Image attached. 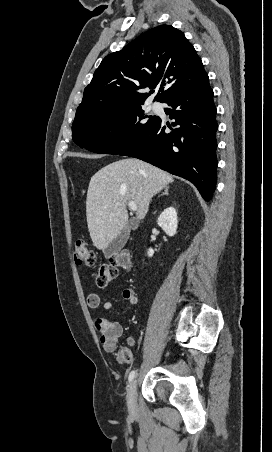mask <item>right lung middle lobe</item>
Wrapping results in <instances>:
<instances>
[{
	"mask_svg": "<svg viewBox=\"0 0 272 452\" xmlns=\"http://www.w3.org/2000/svg\"><path fill=\"white\" fill-rule=\"evenodd\" d=\"M140 105L100 110L78 117L72 125V138L81 148L99 154H119L136 141L157 120Z\"/></svg>",
	"mask_w": 272,
	"mask_h": 452,
	"instance_id": "right-lung-middle-lobe-1",
	"label": "right lung middle lobe"
}]
</instances>
